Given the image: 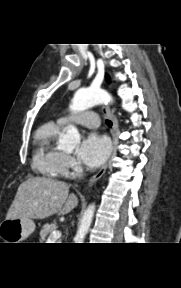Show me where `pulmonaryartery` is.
I'll return each instance as SVG.
<instances>
[{
	"label": "pulmonary artery",
	"instance_id": "obj_1",
	"mask_svg": "<svg viewBox=\"0 0 181 288\" xmlns=\"http://www.w3.org/2000/svg\"><path fill=\"white\" fill-rule=\"evenodd\" d=\"M74 122H76L81 127H87V128H97L98 127V116L96 113L92 111H87L86 113L72 119ZM68 122L67 118H61L59 120V123L61 125H64Z\"/></svg>",
	"mask_w": 181,
	"mask_h": 288
}]
</instances>
